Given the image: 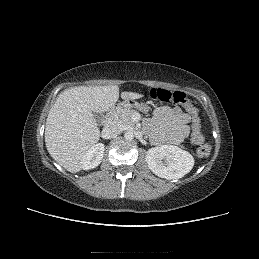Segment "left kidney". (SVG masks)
Listing matches in <instances>:
<instances>
[{
	"mask_svg": "<svg viewBox=\"0 0 259 259\" xmlns=\"http://www.w3.org/2000/svg\"><path fill=\"white\" fill-rule=\"evenodd\" d=\"M145 159L155 175L168 180L182 178L194 166L193 156L174 145L153 147L146 152Z\"/></svg>",
	"mask_w": 259,
	"mask_h": 259,
	"instance_id": "left-kidney-1",
	"label": "left kidney"
}]
</instances>
